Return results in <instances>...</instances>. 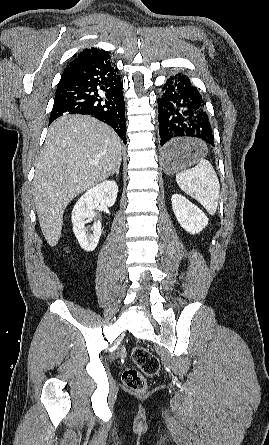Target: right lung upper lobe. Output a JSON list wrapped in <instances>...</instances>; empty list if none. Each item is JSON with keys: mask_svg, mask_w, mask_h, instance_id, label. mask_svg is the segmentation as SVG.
Returning <instances> with one entry per match:
<instances>
[{"mask_svg": "<svg viewBox=\"0 0 269 445\" xmlns=\"http://www.w3.org/2000/svg\"><path fill=\"white\" fill-rule=\"evenodd\" d=\"M105 55H107V52L104 51L103 49H97V48L85 49L64 69L62 77L69 74L75 68L83 64H86L90 61H93L97 58L103 57Z\"/></svg>", "mask_w": 269, "mask_h": 445, "instance_id": "cb5924a9", "label": "right lung upper lobe"}]
</instances>
